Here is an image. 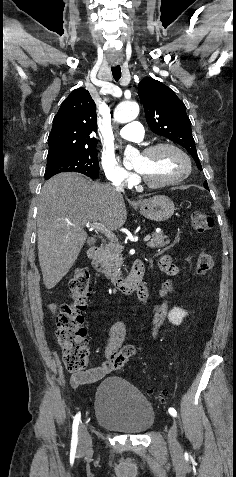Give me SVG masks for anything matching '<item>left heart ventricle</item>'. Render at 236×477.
Wrapping results in <instances>:
<instances>
[{"instance_id": "b2bd125f", "label": "left heart ventricle", "mask_w": 236, "mask_h": 477, "mask_svg": "<svg viewBox=\"0 0 236 477\" xmlns=\"http://www.w3.org/2000/svg\"><path fill=\"white\" fill-rule=\"evenodd\" d=\"M185 159L169 148L160 149L153 154H141L135 161V169L153 182L176 178L186 171Z\"/></svg>"}]
</instances>
